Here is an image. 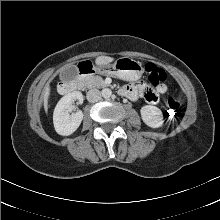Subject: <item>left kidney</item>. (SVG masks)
Returning <instances> with one entry per match:
<instances>
[{"mask_svg":"<svg viewBox=\"0 0 220 220\" xmlns=\"http://www.w3.org/2000/svg\"><path fill=\"white\" fill-rule=\"evenodd\" d=\"M140 113L143 122L151 128H159L164 123L162 111L156 106L145 105Z\"/></svg>","mask_w":220,"mask_h":220,"instance_id":"5707ae66","label":"left kidney"}]
</instances>
